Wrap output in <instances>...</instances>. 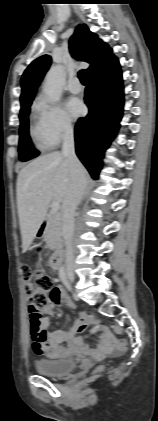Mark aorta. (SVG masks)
Segmentation results:
<instances>
[{"label":"aorta","instance_id":"762f6f07","mask_svg":"<svg viewBox=\"0 0 158 421\" xmlns=\"http://www.w3.org/2000/svg\"><path fill=\"white\" fill-rule=\"evenodd\" d=\"M63 83V67L59 65L52 67L48 71L43 85V91L51 101L57 102L60 100L63 91Z\"/></svg>","mask_w":158,"mask_h":421}]
</instances>
